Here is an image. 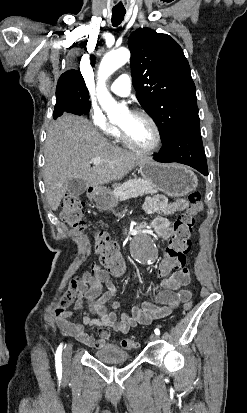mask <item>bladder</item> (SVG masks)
<instances>
[{"label": "bladder", "instance_id": "bladder-1", "mask_svg": "<svg viewBox=\"0 0 247 413\" xmlns=\"http://www.w3.org/2000/svg\"><path fill=\"white\" fill-rule=\"evenodd\" d=\"M96 359L104 362H120L131 360V354L121 350L120 345L107 344L103 349L94 353Z\"/></svg>", "mask_w": 247, "mask_h": 413}]
</instances>
